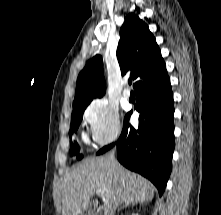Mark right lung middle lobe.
<instances>
[{
  "instance_id": "right-lung-middle-lobe-1",
  "label": "right lung middle lobe",
  "mask_w": 221,
  "mask_h": 215,
  "mask_svg": "<svg viewBox=\"0 0 221 215\" xmlns=\"http://www.w3.org/2000/svg\"><path fill=\"white\" fill-rule=\"evenodd\" d=\"M89 103H84V104H78V105H73V112H72V117H71V126H70V144L72 145L70 149V155L73 156L76 154V151L78 149V144L74 142L72 143L71 140V135L73 132H76L83 117V112L85 108L88 106ZM83 157V155L78 154L77 159L80 160Z\"/></svg>"
}]
</instances>
